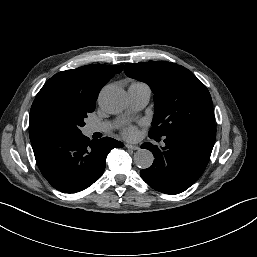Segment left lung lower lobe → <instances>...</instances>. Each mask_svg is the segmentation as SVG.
I'll use <instances>...</instances> for the list:
<instances>
[{
    "label": "left lung lower lobe",
    "instance_id": "left-lung-lower-lobe-1",
    "mask_svg": "<svg viewBox=\"0 0 257 257\" xmlns=\"http://www.w3.org/2000/svg\"><path fill=\"white\" fill-rule=\"evenodd\" d=\"M215 138L214 127H202L167 135L164 140L166 146L162 149L144 143L141 148L150 150L155 159L151 167L140 171L142 179L162 193L178 194L185 191L204 172Z\"/></svg>",
    "mask_w": 257,
    "mask_h": 257
}]
</instances>
